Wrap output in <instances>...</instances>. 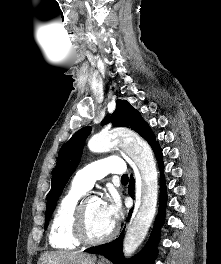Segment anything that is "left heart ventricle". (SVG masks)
I'll use <instances>...</instances> for the list:
<instances>
[{"label": "left heart ventricle", "instance_id": "b2bd125f", "mask_svg": "<svg viewBox=\"0 0 221 264\" xmlns=\"http://www.w3.org/2000/svg\"><path fill=\"white\" fill-rule=\"evenodd\" d=\"M113 222L104 211L103 202L99 199H91L86 206V227L92 238H102L113 227Z\"/></svg>", "mask_w": 221, "mask_h": 264}]
</instances>
